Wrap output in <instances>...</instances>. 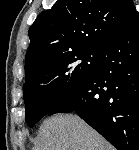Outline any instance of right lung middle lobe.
<instances>
[{"instance_id":"dd1d6c3e","label":"right lung middle lobe","mask_w":139,"mask_h":150,"mask_svg":"<svg viewBox=\"0 0 139 150\" xmlns=\"http://www.w3.org/2000/svg\"><path fill=\"white\" fill-rule=\"evenodd\" d=\"M101 50H87L57 56L25 78L23 86L25 121L33 127L67 94L93 72Z\"/></svg>"}]
</instances>
